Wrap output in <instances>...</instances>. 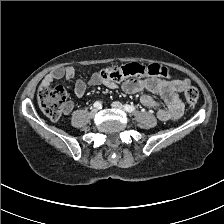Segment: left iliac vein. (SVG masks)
<instances>
[{"label": "left iliac vein", "mask_w": 224, "mask_h": 224, "mask_svg": "<svg viewBox=\"0 0 224 224\" xmlns=\"http://www.w3.org/2000/svg\"><path fill=\"white\" fill-rule=\"evenodd\" d=\"M111 106L115 109L124 110V106L118 101L113 102Z\"/></svg>", "instance_id": "1"}]
</instances>
